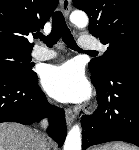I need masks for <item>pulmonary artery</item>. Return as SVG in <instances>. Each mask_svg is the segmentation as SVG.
<instances>
[{
  "instance_id": "e3ab8cb5",
  "label": "pulmonary artery",
  "mask_w": 139,
  "mask_h": 150,
  "mask_svg": "<svg viewBox=\"0 0 139 150\" xmlns=\"http://www.w3.org/2000/svg\"><path fill=\"white\" fill-rule=\"evenodd\" d=\"M80 49L84 51L89 50H100L105 51L106 47L101 44L98 40L90 36H83L79 41ZM56 56V53L50 49L44 47H37L32 52V57L35 60L45 61L52 59Z\"/></svg>"
}]
</instances>
